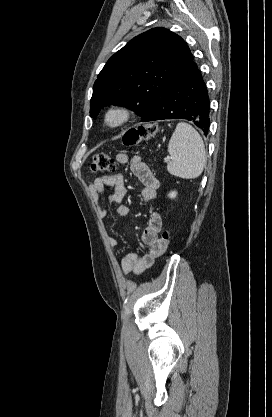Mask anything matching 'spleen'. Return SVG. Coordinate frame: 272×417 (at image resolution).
<instances>
[{
    "label": "spleen",
    "mask_w": 272,
    "mask_h": 417,
    "mask_svg": "<svg viewBox=\"0 0 272 417\" xmlns=\"http://www.w3.org/2000/svg\"><path fill=\"white\" fill-rule=\"evenodd\" d=\"M171 161L167 170L176 177L193 179L203 172L206 151L199 133L189 124L180 122L168 144Z\"/></svg>",
    "instance_id": "3e777b00"
}]
</instances>
